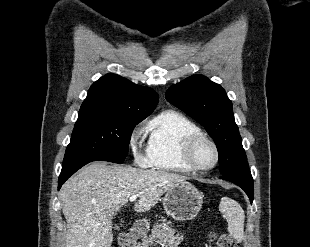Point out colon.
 <instances>
[{
    "label": "colon",
    "instance_id": "colon-1",
    "mask_svg": "<svg viewBox=\"0 0 310 247\" xmlns=\"http://www.w3.org/2000/svg\"><path fill=\"white\" fill-rule=\"evenodd\" d=\"M212 239L217 247H239L236 241L225 233H214Z\"/></svg>",
    "mask_w": 310,
    "mask_h": 247
}]
</instances>
